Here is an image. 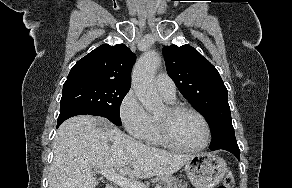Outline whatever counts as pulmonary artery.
Listing matches in <instances>:
<instances>
[{"label": "pulmonary artery", "instance_id": "pulmonary-artery-1", "mask_svg": "<svg viewBox=\"0 0 292 188\" xmlns=\"http://www.w3.org/2000/svg\"><path fill=\"white\" fill-rule=\"evenodd\" d=\"M156 86L158 92L167 100H174L176 96V87L173 79L167 74L161 73L156 77Z\"/></svg>", "mask_w": 292, "mask_h": 188}]
</instances>
